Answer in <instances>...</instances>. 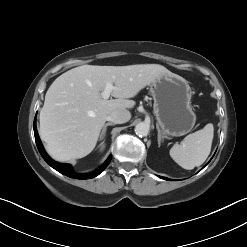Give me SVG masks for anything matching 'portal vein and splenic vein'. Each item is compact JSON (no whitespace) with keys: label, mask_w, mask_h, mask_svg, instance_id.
Returning <instances> with one entry per match:
<instances>
[{"label":"portal vein and splenic vein","mask_w":247,"mask_h":247,"mask_svg":"<svg viewBox=\"0 0 247 247\" xmlns=\"http://www.w3.org/2000/svg\"><path fill=\"white\" fill-rule=\"evenodd\" d=\"M115 89L116 87L113 86L111 82H107L103 92L101 93L102 98L108 99L111 95V92Z\"/></svg>","instance_id":"obj_1"}]
</instances>
